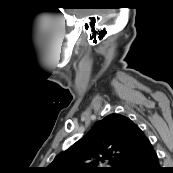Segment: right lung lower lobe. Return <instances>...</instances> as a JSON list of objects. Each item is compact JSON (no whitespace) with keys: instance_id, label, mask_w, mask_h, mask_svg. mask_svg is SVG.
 Returning a JSON list of instances; mask_svg holds the SVG:
<instances>
[{"instance_id":"right-lung-lower-lobe-1","label":"right lung lower lobe","mask_w":173,"mask_h":173,"mask_svg":"<svg viewBox=\"0 0 173 173\" xmlns=\"http://www.w3.org/2000/svg\"><path fill=\"white\" fill-rule=\"evenodd\" d=\"M153 147L129 159L118 173H163Z\"/></svg>"}]
</instances>
